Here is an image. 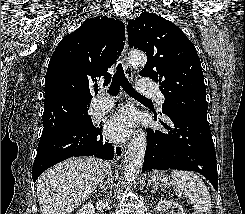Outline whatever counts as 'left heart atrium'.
<instances>
[{
  "label": "left heart atrium",
  "mask_w": 245,
  "mask_h": 214,
  "mask_svg": "<svg viewBox=\"0 0 245 214\" xmlns=\"http://www.w3.org/2000/svg\"><path fill=\"white\" fill-rule=\"evenodd\" d=\"M133 125L132 114L128 110H122L112 117L106 125V134L113 140H123Z\"/></svg>",
  "instance_id": "left-heart-atrium-1"
}]
</instances>
